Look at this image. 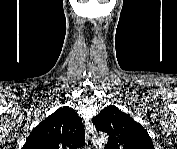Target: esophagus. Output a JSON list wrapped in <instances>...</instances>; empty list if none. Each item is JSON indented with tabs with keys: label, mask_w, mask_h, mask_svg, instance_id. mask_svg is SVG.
<instances>
[{
	"label": "esophagus",
	"mask_w": 177,
	"mask_h": 149,
	"mask_svg": "<svg viewBox=\"0 0 177 149\" xmlns=\"http://www.w3.org/2000/svg\"><path fill=\"white\" fill-rule=\"evenodd\" d=\"M86 127V145L88 149H93L95 143L92 138V134L94 131V126L90 122H85Z\"/></svg>",
	"instance_id": "1"
}]
</instances>
